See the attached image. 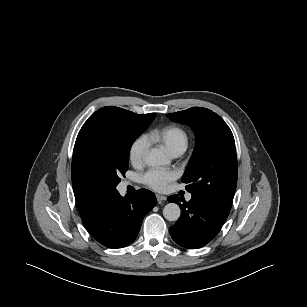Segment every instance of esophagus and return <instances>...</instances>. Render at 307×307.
<instances>
[{
    "instance_id": "34e87169",
    "label": "esophagus",
    "mask_w": 307,
    "mask_h": 307,
    "mask_svg": "<svg viewBox=\"0 0 307 307\" xmlns=\"http://www.w3.org/2000/svg\"><path fill=\"white\" fill-rule=\"evenodd\" d=\"M156 199H157L158 203H162L163 201L166 200V196L157 194Z\"/></svg>"
}]
</instances>
